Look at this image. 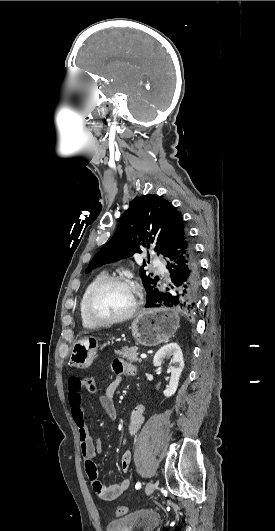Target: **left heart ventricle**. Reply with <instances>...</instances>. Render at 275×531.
Listing matches in <instances>:
<instances>
[{"label":"left heart ventricle","instance_id":"left-heart-ventricle-1","mask_svg":"<svg viewBox=\"0 0 275 531\" xmlns=\"http://www.w3.org/2000/svg\"><path fill=\"white\" fill-rule=\"evenodd\" d=\"M135 299L131 285L123 282L103 287L91 301V312L99 317L114 318L126 314Z\"/></svg>","mask_w":275,"mask_h":531}]
</instances>
